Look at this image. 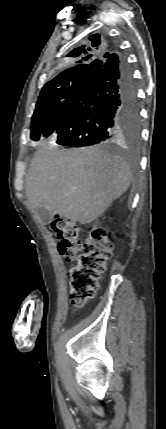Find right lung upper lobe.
I'll list each match as a JSON object with an SVG mask.
<instances>
[{
  "label": "right lung upper lobe",
  "mask_w": 166,
  "mask_h": 429,
  "mask_svg": "<svg viewBox=\"0 0 166 429\" xmlns=\"http://www.w3.org/2000/svg\"><path fill=\"white\" fill-rule=\"evenodd\" d=\"M99 35L90 37V45H81L71 52H69L64 61L60 64V67H67L65 70L61 71L54 79L47 82L40 93L44 92L52 85L57 82L67 79L76 75H84L87 71L89 64L102 57L104 54H109L107 52L109 47L108 43L104 39H100Z\"/></svg>",
  "instance_id": "right-lung-upper-lobe-1"
}]
</instances>
